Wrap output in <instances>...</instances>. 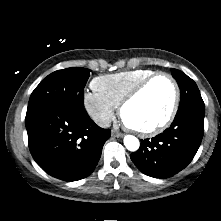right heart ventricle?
Instances as JSON below:
<instances>
[{
    "instance_id": "e07e8e85",
    "label": "right heart ventricle",
    "mask_w": 221,
    "mask_h": 221,
    "mask_svg": "<svg viewBox=\"0 0 221 221\" xmlns=\"http://www.w3.org/2000/svg\"><path fill=\"white\" fill-rule=\"evenodd\" d=\"M155 73L150 69H134L96 77L93 90L115 107L142 80Z\"/></svg>"
}]
</instances>
